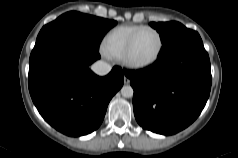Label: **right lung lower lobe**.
<instances>
[{"mask_svg": "<svg viewBox=\"0 0 238 158\" xmlns=\"http://www.w3.org/2000/svg\"><path fill=\"white\" fill-rule=\"evenodd\" d=\"M99 58L98 50L59 33L36 41L31 52L28 86L33 103L45 121L65 135L96 130L123 85L118 66L104 77L88 68Z\"/></svg>", "mask_w": 238, "mask_h": 158, "instance_id": "98d812e1", "label": "right lung lower lobe"}]
</instances>
